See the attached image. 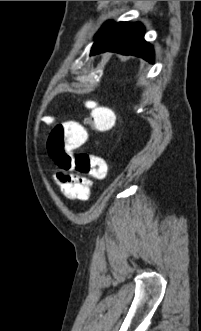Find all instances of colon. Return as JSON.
Wrapping results in <instances>:
<instances>
[{
	"instance_id": "obj_1",
	"label": "colon",
	"mask_w": 201,
	"mask_h": 331,
	"mask_svg": "<svg viewBox=\"0 0 201 331\" xmlns=\"http://www.w3.org/2000/svg\"><path fill=\"white\" fill-rule=\"evenodd\" d=\"M90 115L85 123L96 132H106L112 129L116 122L115 113L108 107L97 106L93 102L86 105ZM86 127L76 121L57 123L51 130L47 149L56 165L67 172L81 173L97 180H104L108 174L105 160L88 152L75 155L70 150L82 146L87 141Z\"/></svg>"
}]
</instances>
